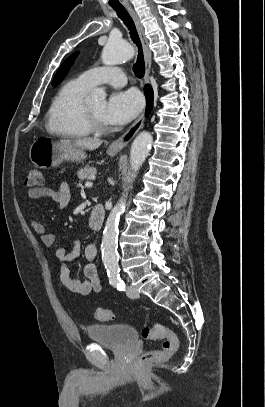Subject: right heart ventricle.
<instances>
[{
    "instance_id": "e07e8e85",
    "label": "right heart ventricle",
    "mask_w": 265,
    "mask_h": 407,
    "mask_svg": "<svg viewBox=\"0 0 265 407\" xmlns=\"http://www.w3.org/2000/svg\"><path fill=\"white\" fill-rule=\"evenodd\" d=\"M89 89L78 78L67 81L59 89L47 113L46 129L51 135L85 138L91 134L82 118L84 97Z\"/></svg>"
}]
</instances>
